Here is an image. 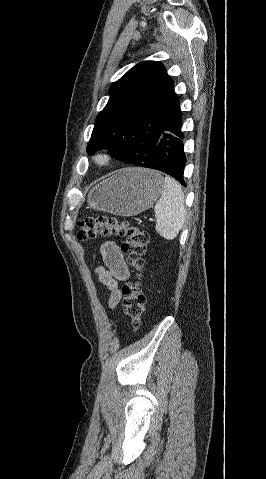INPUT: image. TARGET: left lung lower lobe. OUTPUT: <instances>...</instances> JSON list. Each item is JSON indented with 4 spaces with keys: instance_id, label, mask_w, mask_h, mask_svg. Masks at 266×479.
Wrapping results in <instances>:
<instances>
[{
    "instance_id": "1",
    "label": "left lung lower lobe",
    "mask_w": 266,
    "mask_h": 479,
    "mask_svg": "<svg viewBox=\"0 0 266 479\" xmlns=\"http://www.w3.org/2000/svg\"><path fill=\"white\" fill-rule=\"evenodd\" d=\"M181 127L180 102L178 97H176L165 117L156 144L154 158L151 162L143 164L142 167L162 171L186 186L183 176L186 156L184 153V134L181 131Z\"/></svg>"
}]
</instances>
